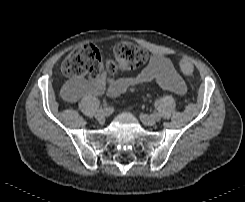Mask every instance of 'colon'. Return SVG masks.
Segmentation results:
<instances>
[{"label": "colon", "mask_w": 245, "mask_h": 202, "mask_svg": "<svg viewBox=\"0 0 245 202\" xmlns=\"http://www.w3.org/2000/svg\"><path fill=\"white\" fill-rule=\"evenodd\" d=\"M102 56L98 49L89 43L75 48L61 65L63 74L67 77L62 94L65 98L70 96L76 80L83 77H97L100 73ZM148 61L145 49L135 45L129 40H121L115 46V61L108 64L110 75L119 71H133L143 67ZM181 71L189 75L193 71L191 62L182 65Z\"/></svg>", "instance_id": "colon-1"}]
</instances>
